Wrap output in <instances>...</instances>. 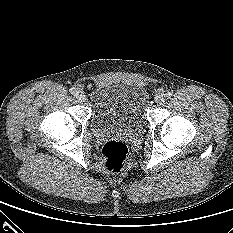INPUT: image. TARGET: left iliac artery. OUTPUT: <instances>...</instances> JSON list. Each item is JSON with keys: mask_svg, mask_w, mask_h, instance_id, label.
Segmentation results:
<instances>
[{"mask_svg": "<svg viewBox=\"0 0 233 233\" xmlns=\"http://www.w3.org/2000/svg\"><path fill=\"white\" fill-rule=\"evenodd\" d=\"M172 95H173V93L170 92V91L166 93V97H167V98H171Z\"/></svg>", "mask_w": 233, "mask_h": 233, "instance_id": "obj_1", "label": "left iliac artery"}]
</instances>
